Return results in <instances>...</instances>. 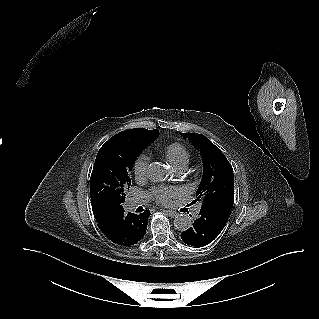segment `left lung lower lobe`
Listing matches in <instances>:
<instances>
[{"instance_id": "1", "label": "left lung lower lobe", "mask_w": 319, "mask_h": 319, "mask_svg": "<svg viewBox=\"0 0 319 319\" xmlns=\"http://www.w3.org/2000/svg\"><path fill=\"white\" fill-rule=\"evenodd\" d=\"M233 203L202 206L193 226L181 233V239L195 247L211 243L222 231L232 210Z\"/></svg>"}]
</instances>
